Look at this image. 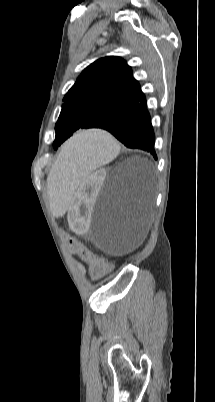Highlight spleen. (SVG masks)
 Returning a JSON list of instances; mask_svg holds the SVG:
<instances>
[{
  "label": "spleen",
  "mask_w": 215,
  "mask_h": 402,
  "mask_svg": "<svg viewBox=\"0 0 215 402\" xmlns=\"http://www.w3.org/2000/svg\"><path fill=\"white\" fill-rule=\"evenodd\" d=\"M119 146L108 128H79L62 149L49 178V191L55 196L50 213L65 215L73 203V194L90 180L97 168L112 160Z\"/></svg>",
  "instance_id": "1"
}]
</instances>
